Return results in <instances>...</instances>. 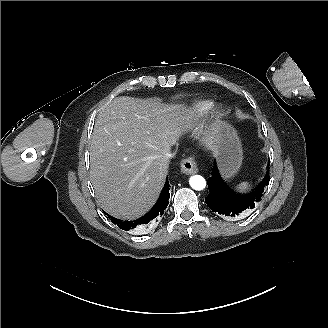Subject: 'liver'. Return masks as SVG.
<instances>
[{
	"mask_svg": "<svg viewBox=\"0 0 328 328\" xmlns=\"http://www.w3.org/2000/svg\"><path fill=\"white\" fill-rule=\"evenodd\" d=\"M190 110L158 100L117 97L97 114L91 141V181L109 214L134 219L155 203L171 151L189 128Z\"/></svg>",
	"mask_w": 328,
	"mask_h": 328,
	"instance_id": "1",
	"label": "liver"
}]
</instances>
